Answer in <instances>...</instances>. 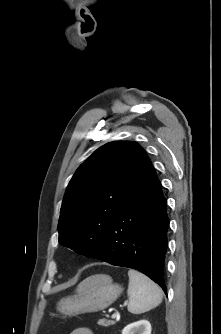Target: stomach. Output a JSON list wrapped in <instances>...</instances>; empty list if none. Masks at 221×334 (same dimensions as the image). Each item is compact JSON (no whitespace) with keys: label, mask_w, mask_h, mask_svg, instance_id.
Instances as JSON below:
<instances>
[{"label":"stomach","mask_w":221,"mask_h":334,"mask_svg":"<svg viewBox=\"0 0 221 334\" xmlns=\"http://www.w3.org/2000/svg\"><path fill=\"white\" fill-rule=\"evenodd\" d=\"M121 292L122 287L108 275H92L80 283L74 295L62 298L57 310L67 316L98 312L116 301Z\"/></svg>","instance_id":"stomach-1"}]
</instances>
